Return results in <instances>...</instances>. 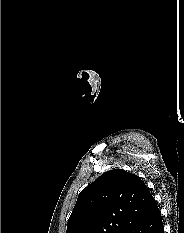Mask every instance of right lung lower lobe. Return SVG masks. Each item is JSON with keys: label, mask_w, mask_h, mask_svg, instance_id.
I'll return each instance as SVG.
<instances>
[{"label": "right lung lower lobe", "mask_w": 184, "mask_h": 233, "mask_svg": "<svg viewBox=\"0 0 184 233\" xmlns=\"http://www.w3.org/2000/svg\"><path fill=\"white\" fill-rule=\"evenodd\" d=\"M127 233H164V226L158 206L134 225Z\"/></svg>", "instance_id": "1"}]
</instances>
